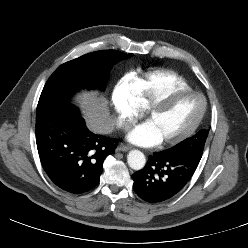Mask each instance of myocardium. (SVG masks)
Returning a JSON list of instances; mask_svg holds the SVG:
<instances>
[{
	"instance_id": "myocardium-1",
	"label": "myocardium",
	"mask_w": 248,
	"mask_h": 248,
	"mask_svg": "<svg viewBox=\"0 0 248 248\" xmlns=\"http://www.w3.org/2000/svg\"><path fill=\"white\" fill-rule=\"evenodd\" d=\"M187 95H196V96L201 98V100H202L201 112L198 115L197 119L194 121V123L188 129H186L184 132H182L181 134H179L178 136H175L173 138L162 140L160 143L164 146H174V145L180 144L181 142L185 141L186 139H188L190 136H192L195 133V131L198 129V127L202 123L203 118L206 114L207 99L203 93H201L199 91L192 90V89L191 90H181V89L180 90H172V91L166 93L165 95L154 100L146 109L145 117L148 118L150 115L163 109L168 104L175 101L176 99L187 96Z\"/></svg>"
}]
</instances>
